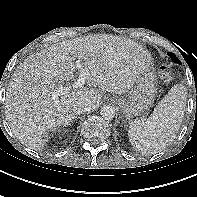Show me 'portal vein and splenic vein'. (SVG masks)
Wrapping results in <instances>:
<instances>
[{
  "mask_svg": "<svg viewBox=\"0 0 197 197\" xmlns=\"http://www.w3.org/2000/svg\"><path fill=\"white\" fill-rule=\"evenodd\" d=\"M76 68L79 70V78L73 83V88H79L82 87L86 80L89 73L83 69L80 65L79 61H76L75 63ZM71 91V87H63V86H56L54 92L52 93L53 99H58L59 96L68 94Z\"/></svg>",
  "mask_w": 197,
  "mask_h": 197,
  "instance_id": "18ae733b",
  "label": "portal vein and splenic vein"
}]
</instances>
